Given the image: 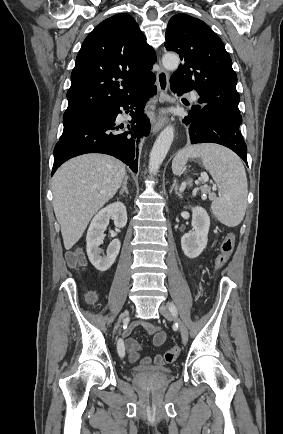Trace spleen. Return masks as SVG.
<instances>
[{"mask_svg": "<svg viewBox=\"0 0 283 434\" xmlns=\"http://www.w3.org/2000/svg\"><path fill=\"white\" fill-rule=\"evenodd\" d=\"M189 158H201L219 188V196L213 199L211 209L224 225L235 227L243 220L248 184L241 159L229 149L215 144H200L180 151L172 162V170L180 176ZM190 185L192 181L188 182Z\"/></svg>", "mask_w": 283, "mask_h": 434, "instance_id": "spleen-1", "label": "spleen"}]
</instances>
